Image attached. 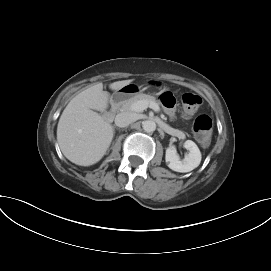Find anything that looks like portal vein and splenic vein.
<instances>
[{
  "instance_id": "obj_1",
  "label": "portal vein and splenic vein",
  "mask_w": 271,
  "mask_h": 271,
  "mask_svg": "<svg viewBox=\"0 0 271 271\" xmlns=\"http://www.w3.org/2000/svg\"><path fill=\"white\" fill-rule=\"evenodd\" d=\"M151 108L154 111L158 112L160 110V107L155 103H148L147 101H137L134 103L131 107V110L135 112H141L147 108Z\"/></svg>"
}]
</instances>
